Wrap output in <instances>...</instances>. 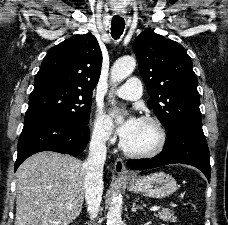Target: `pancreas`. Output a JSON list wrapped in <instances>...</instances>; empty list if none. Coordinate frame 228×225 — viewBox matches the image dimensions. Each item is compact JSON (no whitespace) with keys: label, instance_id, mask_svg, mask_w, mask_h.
Instances as JSON below:
<instances>
[{"label":"pancreas","instance_id":"1","mask_svg":"<svg viewBox=\"0 0 228 225\" xmlns=\"http://www.w3.org/2000/svg\"><path fill=\"white\" fill-rule=\"evenodd\" d=\"M175 211H170V209H163L159 215H155V217H159L162 221H171V223H176L177 217H174Z\"/></svg>","mask_w":228,"mask_h":225}]
</instances>
